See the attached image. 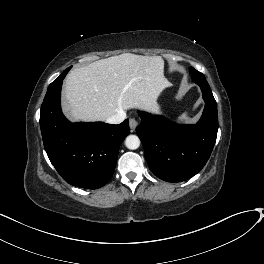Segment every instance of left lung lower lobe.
I'll return each mask as SVG.
<instances>
[{
    "label": "left lung lower lobe",
    "instance_id": "obj_1",
    "mask_svg": "<svg viewBox=\"0 0 264 264\" xmlns=\"http://www.w3.org/2000/svg\"><path fill=\"white\" fill-rule=\"evenodd\" d=\"M203 94L205 108L196 125H178L161 116L139 112L136 132L150 170L167 182H181L197 174L208 161L217 131V105L205 77H193Z\"/></svg>",
    "mask_w": 264,
    "mask_h": 264
}]
</instances>
